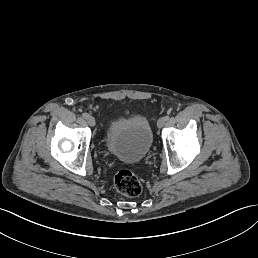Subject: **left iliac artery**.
Listing matches in <instances>:
<instances>
[{
    "label": "left iliac artery",
    "mask_w": 258,
    "mask_h": 258,
    "mask_svg": "<svg viewBox=\"0 0 258 258\" xmlns=\"http://www.w3.org/2000/svg\"><path fill=\"white\" fill-rule=\"evenodd\" d=\"M169 118H170L169 115H166V116L164 117L165 120H169Z\"/></svg>",
    "instance_id": "1"
}]
</instances>
